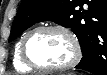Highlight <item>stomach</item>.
<instances>
[{
    "instance_id": "0dacf381",
    "label": "stomach",
    "mask_w": 107,
    "mask_h": 75,
    "mask_svg": "<svg viewBox=\"0 0 107 75\" xmlns=\"http://www.w3.org/2000/svg\"><path fill=\"white\" fill-rule=\"evenodd\" d=\"M66 75H76V74H74V73H70V74H66Z\"/></svg>"
}]
</instances>
